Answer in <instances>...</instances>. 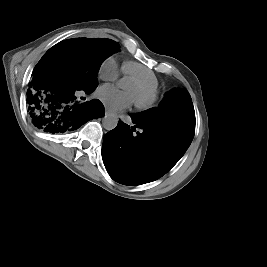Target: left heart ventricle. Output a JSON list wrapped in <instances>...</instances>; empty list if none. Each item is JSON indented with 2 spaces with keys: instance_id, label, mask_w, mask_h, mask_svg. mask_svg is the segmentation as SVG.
<instances>
[{
  "instance_id": "obj_1",
  "label": "left heart ventricle",
  "mask_w": 267,
  "mask_h": 267,
  "mask_svg": "<svg viewBox=\"0 0 267 267\" xmlns=\"http://www.w3.org/2000/svg\"><path fill=\"white\" fill-rule=\"evenodd\" d=\"M127 90L129 91V93L131 94V96L133 98L135 97H140L143 96L145 94V91H143L142 89H140L138 86H136L134 83L130 82L127 86Z\"/></svg>"
}]
</instances>
